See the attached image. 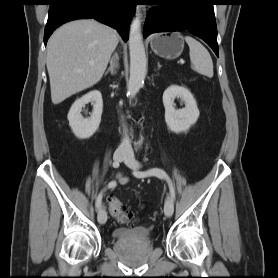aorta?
<instances>
[{
	"instance_id": "1",
	"label": "aorta",
	"mask_w": 278,
	"mask_h": 278,
	"mask_svg": "<svg viewBox=\"0 0 278 278\" xmlns=\"http://www.w3.org/2000/svg\"><path fill=\"white\" fill-rule=\"evenodd\" d=\"M129 51L130 77L128 81V94L133 98L144 84L147 64L139 14L133 17L130 24Z\"/></svg>"
}]
</instances>
